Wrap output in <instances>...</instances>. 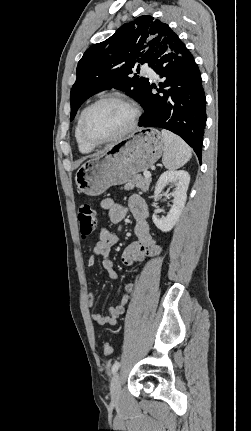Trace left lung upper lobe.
<instances>
[{
  "instance_id": "left-lung-upper-lobe-1",
  "label": "left lung upper lobe",
  "mask_w": 251,
  "mask_h": 431,
  "mask_svg": "<svg viewBox=\"0 0 251 431\" xmlns=\"http://www.w3.org/2000/svg\"><path fill=\"white\" fill-rule=\"evenodd\" d=\"M172 33L167 24L144 15L87 49L78 63L77 79L71 89L70 120L89 97L111 88L125 91L141 103L149 80L131 74L134 69L139 72L140 64L149 65L155 50Z\"/></svg>"
}]
</instances>
